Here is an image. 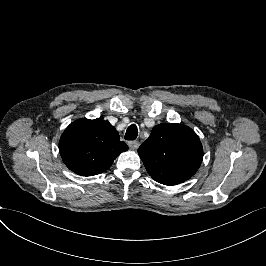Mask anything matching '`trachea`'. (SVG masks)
<instances>
[{
	"label": "trachea",
	"mask_w": 266,
	"mask_h": 266,
	"mask_svg": "<svg viewBox=\"0 0 266 266\" xmlns=\"http://www.w3.org/2000/svg\"><path fill=\"white\" fill-rule=\"evenodd\" d=\"M137 135H138L137 126L135 124H132L127 128L124 138L126 140H135L137 138Z\"/></svg>",
	"instance_id": "trachea-1"
}]
</instances>
